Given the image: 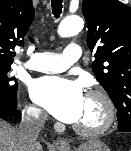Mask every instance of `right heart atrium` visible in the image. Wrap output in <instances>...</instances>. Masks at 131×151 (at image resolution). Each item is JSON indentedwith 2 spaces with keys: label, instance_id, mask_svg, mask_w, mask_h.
<instances>
[{
  "label": "right heart atrium",
  "instance_id": "d8ad5b80",
  "mask_svg": "<svg viewBox=\"0 0 131 151\" xmlns=\"http://www.w3.org/2000/svg\"><path fill=\"white\" fill-rule=\"evenodd\" d=\"M24 113L27 117L36 121H40L43 118V112L39 108L31 104H27L24 107Z\"/></svg>",
  "mask_w": 131,
  "mask_h": 151
}]
</instances>
